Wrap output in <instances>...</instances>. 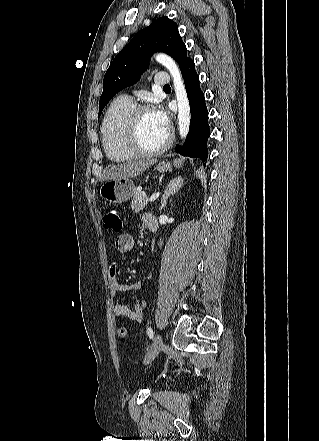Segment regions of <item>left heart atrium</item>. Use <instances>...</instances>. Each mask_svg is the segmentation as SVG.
<instances>
[{
    "label": "left heart atrium",
    "instance_id": "left-heart-atrium-1",
    "mask_svg": "<svg viewBox=\"0 0 319 441\" xmlns=\"http://www.w3.org/2000/svg\"><path fill=\"white\" fill-rule=\"evenodd\" d=\"M152 114H153L155 120L159 123V125L161 127H163L164 129L168 130L169 119H168L167 113L163 109L157 108L152 111Z\"/></svg>",
    "mask_w": 319,
    "mask_h": 441
}]
</instances>
